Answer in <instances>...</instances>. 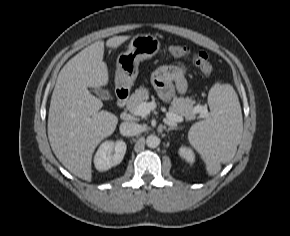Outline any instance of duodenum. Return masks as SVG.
<instances>
[{
  "mask_svg": "<svg viewBox=\"0 0 290 236\" xmlns=\"http://www.w3.org/2000/svg\"><path fill=\"white\" fill-rule=\"evenodd\" d=\"M129 98V91L124 88H119L116 91V105L118 107H123Z\"/></svg>",
  "mask_w": 290,
  "mask_h": 236,
  "instance_id": "obj_1",
  "label": "duodenum"
}]
</instances>
